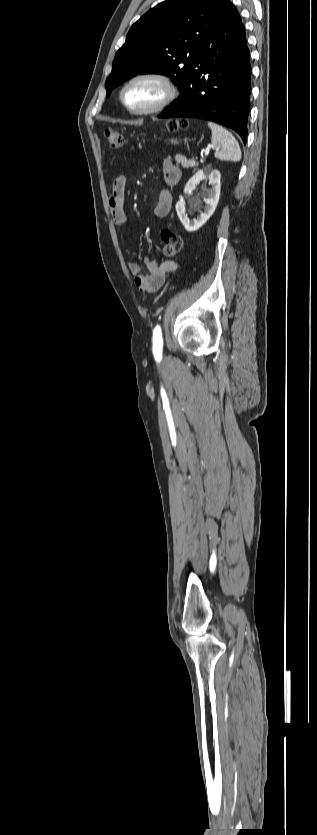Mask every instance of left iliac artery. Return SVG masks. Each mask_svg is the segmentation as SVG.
<instances>
[{"mask_svg":"<svg viewBox=\"0 0 317 835\" xmlns=\"http://www.w3.org/2000/svg\"><path fill=\"white\" fill-rule=\"evenodd\" d=\"M163 338L160 325H157L153 331V353L157 360L162 358Z\"/></svg>","mask_w":317,"mask_h":835,"instance_id":"obj_1","label":"left iliac artery"}]
</instances>
